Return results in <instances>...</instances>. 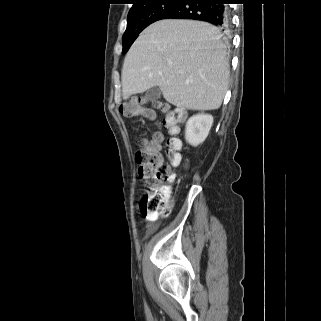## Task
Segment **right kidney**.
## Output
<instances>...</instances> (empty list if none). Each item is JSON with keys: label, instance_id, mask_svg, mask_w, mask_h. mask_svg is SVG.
Here are the masks:
<instances>
[{"label": "right kidney", "instance_id": "ca27d5eb", "mask_svg": "<svg viewBox=\"0 0 321 321\" xmlns=\"http://www.w3.org/2000/svg\"><path fill=\"white\" fill-rule=\"evenodd\" d=\"M212 124V115L201 113L192 116L186 124V141L193 146L201 144L207 138Z\"/></svg>", "mask_w": 321, "mask_h": 321}]
</instances>
